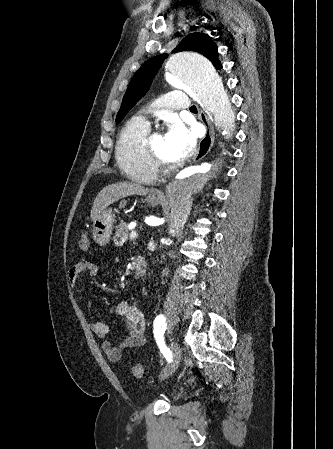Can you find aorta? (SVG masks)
Here are the masks:
<instances>
[{"mask_svg": "<svg viewBox=\"0 0 333 449\" xmlns=\"http://www.w3.org/2000/svg\"><path fill=\"white\" fill-rule=\"evenodd\" d=\"M167 82L176 88L195 95L213 122L229 127L233 120L228 95L216 68L203 55L181 51L171 55L166 62ZM226 163L224 154L188 167L167 186L166 194L171 209L168 233L175 236L184 226L193 204V196L215 181Z\"/></svg>", "mask_w": 333, "mask_h": 449, "instance_id": "obj_1", "label": "aorta"}]
</instances>
